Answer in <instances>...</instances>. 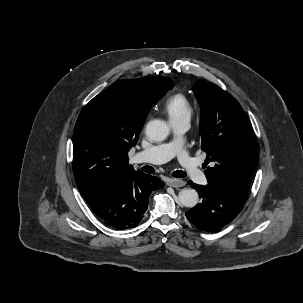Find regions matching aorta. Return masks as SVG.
I'll return each mask as SVG.
<instances>
[{
    "instance_id": "obj_1",
    "label": "aorta",
    "mask_w": 303,
    "mask_h": 303,
    "mask_svg": "<svg viewBox=\"0 0 303 303\" xmlns=\"http://www.w3.org/2000/svg\"><path fill=\"white\" fill-rule=\"evenodd\" d=\"M146 135L152 141H163L169 135V127L162 120H151L146 125ZM198 200V193L195 189L192 188L182 189L178 194V202L188 208L196 206Z\"/></svg>"
}]
</instances>
